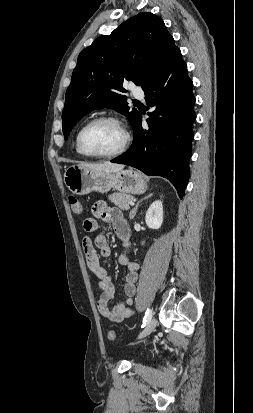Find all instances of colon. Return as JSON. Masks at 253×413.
I'll use <instances>...</instances> for the list:
<instances>
[{"mask_svg": "<svg viewBox=\"0 0 253 413\" xmlns=\"http://www.w3.org/2000/svg\"><path fill=\"white\" fill-rule=\"evenodd\" d=\"M71 210L76 215H81L84 211L83 204L73 195L69 196L68 198ZM109 340L116 339V332L114 330H110L107 334Z\"/></svg>", "mask_w": 253, "mask_h": 413, "instance_id": "5ec220e1", "label": "colon"}]
</instances>
